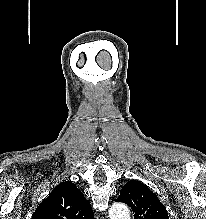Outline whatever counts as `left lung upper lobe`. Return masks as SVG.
<instances>
[{
  "mask_svg": "<svg viewBox=\"0 0 206 219\" xmlns=\"http://www.w3.org/2000/svg\"><path fill=\"white\" fill-rule=\"evenodd\" d=\"M117 201L132 208L134 219H169L164 205L156 194L139 181H128L121 189Z\"/></svg>",
  "mask_w": 206,
  "mask_h": 219,
  "instance_id": "1",
  "label": "left lung upper lobe"
}]
</instances>
